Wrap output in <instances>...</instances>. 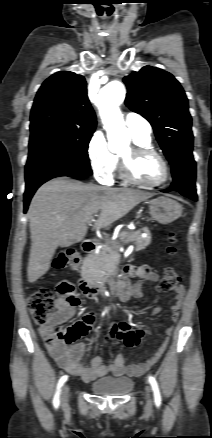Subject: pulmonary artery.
Instances as JSON below:
<instances>
[{
  "mask_svg": "<svg viewBox=\"0 0 212 438\" xmlns=\"http://www.w3.org/2000/svg\"><path fill=\"white\" fill-rule=\"evenodd\" d=\"M124 124L132 136L148 138L151 135L152 128L150 123L138 113H127L125 115Z\"/></svg>",
  "mask_w": 212,
  "mask_h": 438,
  "instance_id": "1",
  "label": "pulmonary artery"
}]
</instances>
